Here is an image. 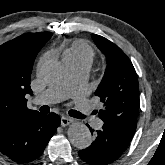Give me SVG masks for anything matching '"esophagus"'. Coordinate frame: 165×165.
<instances>
[{"label":"esophagus","instance_id":"esophagus-1","mask_svg":"<svg viewBox=\"0 0 165 165\" xmlns=\"http://www.w3.org/2000/svg\"><path fill=\"white\" fill-rule=\"evenodd\" d=\"M73 120L70 117L62 116L61 117V125L63 127L68 126Z\"/></svg>","mask_w":165,"mask_h":165}]
</instances>
